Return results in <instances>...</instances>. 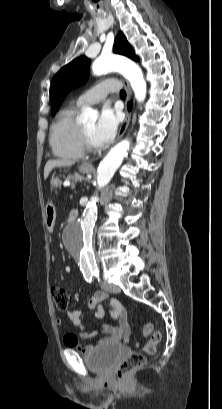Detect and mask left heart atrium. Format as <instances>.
I'll list each match as a JSON object with an SVG mask.
<instances>
[{"label":"left heart atrium","instance_id":"left-heart-atrium-1","mask_svg":"<svg viewBox=\"0 0 222 409\" xmlns=\"http://www.w3.org/2000/svg\"><path fill=\"white\" fill-rule=\"evenodd\" d=\"M119 125V116L111 108L105 107L93 132V140L98 147L105 146L115 136Z\"/></svg>","mask_w":222,"mask_h":409}]
</instances>
